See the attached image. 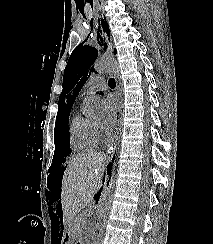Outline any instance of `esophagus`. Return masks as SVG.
Returning a JSON list of instances; mask_svg holds the SVG:
<instances>
[{"mask_svg":"<svg viewBox=\"0 0 213 244\" xmlns=\"http://www.w3.org/2000/svg\"><path fill=\"white\" fill-rule=\"evenodd\" d=\"M115 97H116V101H117V114H116V122H115V132L111 138V140L108 143L107 146V152L108 154H112L115 150L116 147V142H117V138H118V129H119V124H120V120H121V106H120V98L118 95V92H115Z\"/></svg>","mask_w":213,"mask_h":244,"instance_id":"34e87169","label":"esophagus"}]
</instances>
